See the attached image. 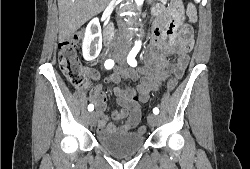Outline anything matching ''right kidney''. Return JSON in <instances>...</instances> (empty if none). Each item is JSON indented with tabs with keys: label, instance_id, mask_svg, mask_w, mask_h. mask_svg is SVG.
I'll return each mask as SVG.
<instances>
[{
	"label": "right kidney",
	"instance_id": "1",
	"mask_svg": "<svg viewBox=\"0 0 250 169\" xmlns=\"http://www.w3.org/2000/svg\"><path fill=\"white\" fill-rule=\"evenodd\" d=\"M101 48L102 34L100 22L98 18H92L86 26L82 42V54L85 60H94V58H97Z\"/></svg>",
	"mask_w": 250,
	"mask_h": 169
}]
</instances>
